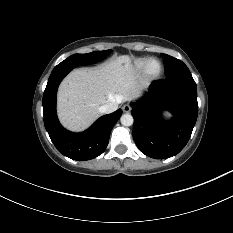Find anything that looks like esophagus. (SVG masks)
<instances>
[{"instance_id":"esophagus-1","label":"esophagus","mask_w":233,"mask_h":233,"mask_svg":"<svg viewBox=\"0 0 233 233\" xmlns=\"http://www.w3.org/2000/svg\"><path fill=\"white\" fill-rule=\"evenodd\" d=\"M123 111L125 113H129L131 111V106L128 105V104H125L123 107H122Z\"/></svg>"}]
</instances>
